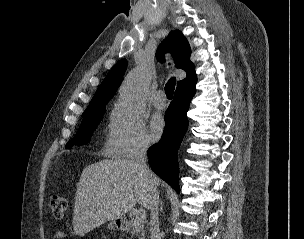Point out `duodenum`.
Returning <instances> with one entry per match:
<instances>
[{"label": "duodenum", "mask_w": 304, "mask_h": 239, "mask_svg": "<svg viewBox=\"0 0 304 239\" xmlns=\"http://www.w3.org/2000/svg\"><path fill=\"white\" fill-rule=\"evenodd\" d=\"M117 226L121 231H129L131 228V225L129 223V221L125 220V219H119L117 221Z\"/></svg>", "instance_id": "duodenum-1"}]
</instances>
